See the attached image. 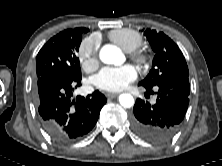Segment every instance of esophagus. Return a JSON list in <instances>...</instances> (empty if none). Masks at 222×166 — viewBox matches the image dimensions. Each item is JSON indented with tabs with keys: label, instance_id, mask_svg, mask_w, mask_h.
<instances>
[{
	"label": "esophagus",
	"instance_id": "obj_1",
	"mask_svg": "<svg viewBox=\"0 0 222 166\" xmlns=\"http://www.w3.org/2000/svg\"><path fill=\"white\" fill-rule=\"evenodd\" d=\"M119 95V93H108V94H106V96L108 97V98H114V97H116V96H118Z\"/></svg>",
	"mask_w": 222,
	"mask_h": 166
}]
</instances>
